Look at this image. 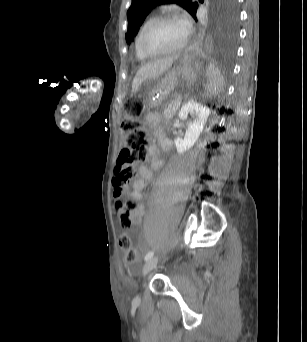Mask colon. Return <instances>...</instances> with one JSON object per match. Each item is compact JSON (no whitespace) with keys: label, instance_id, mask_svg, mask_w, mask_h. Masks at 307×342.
<instances>
[{"label":"colon","instance_id":"obj_1","mask_svg":"<svg viewBox=\"0 0 307 342\" xmlns=\"http://www.w3.org/2000/svg\"><path fill=\"white\" fill-rule=\"evenodd\" d=\"M143 110L144 104L138 98H134L126 104L122 122V129L126 134L125 146L119 153V156L114 158L116 165L111 178L114 197L113 210L119 219L122 229L130 228L135 215L134 203L124 201L122 198L127 192V184L135 176L134 165L144 161L146 158L147 136L140 122ZM118 241L120 249L125 253L124 259L126 264L138 266L140 261L133 248L131 236L123 232L119 235Z\"/></svg>","mask_w":307,"mask_h":342}]
</instances>
